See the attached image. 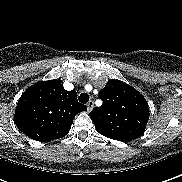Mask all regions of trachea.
Wrapping results in <instances>:
<instances>
[{"mask_svg": "<svg viewBox=\"0 0 182 182\" xmlns=\"http://www.w3.org/2000/svg\"><path fill=\"white\" fill-rule=\"evenodd\" d=\"M89 95L87 93H81L80 96L78 97L79 102L81 103H87L89 101Z\"/></svg>", "mask_w": 182, "mask_h": 182, "instance_id": "trachea-1", "label": "trachea"}]
</instances>
